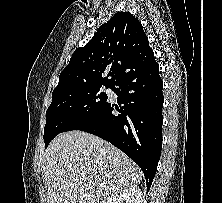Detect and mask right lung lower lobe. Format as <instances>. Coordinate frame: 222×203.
<instances>
[{
	"label": "right lung lower lobe",
	"mask_w": 222,
	"mask_h": 203,
	"mask_svg": "<svg viewBox=\"0 0 222 203\" xmlns=\"http://www.w3.org/2000/svg\"><path fill=\"white\" fill-rule=\"evenodd\" d=\"M110 88L118 107L106 101L63 132L81 130L94 134L129 156L142 169L149 190L162 147V80L154 60L118 78Z\"/></svg>",
	"instance_id": "right-lung-lower-lobe-1"
}]
</instances>
